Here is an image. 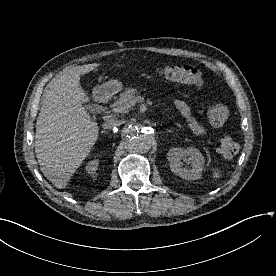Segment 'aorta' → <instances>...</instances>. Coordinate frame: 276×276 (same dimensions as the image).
Here are the masks:
<instances>
[{
	"instance_id": "1",
	"label": "aorta",
	"mask_w": 276,
	"mask_h": 276,
	"mask_svg": "<svg viewBox=\"0 0 276 276\" xmlns=\"http://www.w3.org/2000/svg\"><path fill=\"white\" fill-rule=\"evenodd\" d=\"M126 148L136 153H146L152 146L151 136L134 124L126 125L122 130Z\"/></svg>"
}]
</instances>
